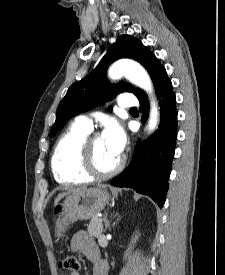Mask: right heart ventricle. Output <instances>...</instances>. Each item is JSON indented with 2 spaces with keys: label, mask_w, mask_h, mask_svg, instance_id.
I'll list each match as a JSON object with an SVG mask.
<instances>
[{
  "label": "right heart ventricle",
  "mask_w": 225,
  "mask_h": 275,
  "mask_svg": "<svg viewBox=\"0 0 225 275\" xmlns=\"http://www.w3.org/2000/svg\"><path fill=\"white\" fill-rule=\"evenodd\" d=\"M90 129L72 124L58 139L51 167L55 179L64 185L82 184L91 180L79 166V148Z\"/></svg>",
  "instance_id": "obj_1"
}]
</instances>
